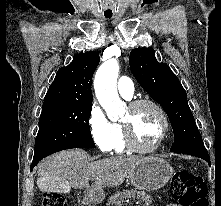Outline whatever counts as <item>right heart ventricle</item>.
<instances>
[{
	"instance_id": "e07e8e85",
	"label": "right heart ventricle",
	"mask_w": 221,
	"mask_h": 206,
	"mask_svg": "<svg viewBox=\"0 0 221 206\" xmlns=\"http://www.w3.org/2000/svg\"><path fill=\"white\" fill-rule=\"evenodd\" d=\"M116 153H124L128 150L125 142L124 132L120 124H115V139L112 148Z\"/></svg>"
}]
</instances>
